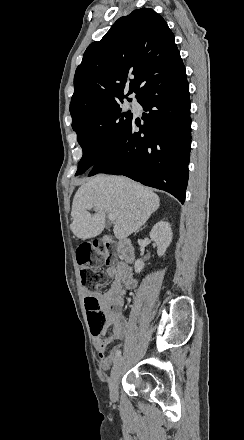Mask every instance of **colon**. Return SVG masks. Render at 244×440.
<instances>
[{
	"label": "colon",
	"instance_id": "5ec220e1",
	"mask_svg": "<svg viewBox=\"0 0 244 440\" xmlns=\"http://www.w3.org/2000/svg\"><path fill=\"white\" fill-rule=\"evenodd\" d=\"M119 252L116 248H101L100 242H87L80 248H76L73 259L74 262H80L79 269L85 280L87 298L85 300L84 312L86 319H104V310H99L96 304L95 288L105 284V275L103 267L106 257H116ZM112 314H119L121 308L119 305H112L110 308ZM121 323V320L119 321Z\"/></svg>",
	"mask_w": 244,
	"mask_h": 440
}]
</instances>
